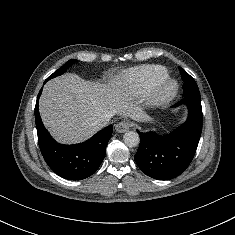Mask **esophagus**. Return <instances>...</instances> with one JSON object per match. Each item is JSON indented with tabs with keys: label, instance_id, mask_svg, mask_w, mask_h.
<instances>
[{
	"label": "esophagus",
	"instance_id": "34e87169",
	"mask_svg": "<svg viewBox=\"0 0 235 235\" xmlns=\"http://www.w3.org/2000/svg\"><path fill=\"white\" fill-rule=\"evenodd\" d=\"M131 125L128 121H121L115 126V130L118 133H124L130 129Z\"/></svg>",
	"mask_w": 235,
	"mask_h": 235
}]
</instances>
